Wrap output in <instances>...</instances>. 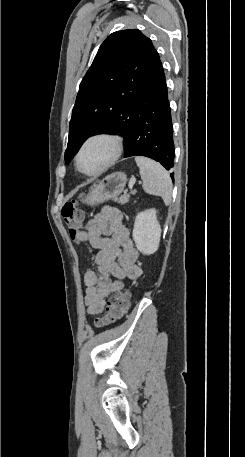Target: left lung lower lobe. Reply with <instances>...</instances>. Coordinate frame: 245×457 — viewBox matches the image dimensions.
Listing matches in <instances>:
<instances>
[{
	"label": "left lung lower lobe",
	"instance_id": "left-lung-lower-lobe-1",
	"mask_svg": "<svg viewBox=\"0 0 245 457\" xmlns=\"http://www.w3.org/2000/svg\"><path fill=\"white\" fill-rule=\"evenodd\" d=\"M106 133L123 136L124 157H149L168 171L173 170V124L162 64L150 84L148 96L143 104L128 116H122ZM171 177L173 178V173Z\"/></svg>",
	"mask_w": 245,
	"mask_h": 457
}]
</instances>
